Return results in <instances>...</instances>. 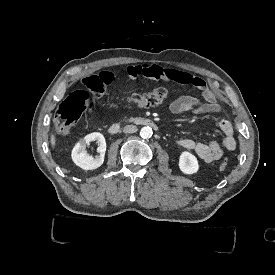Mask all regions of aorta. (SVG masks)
I'll use <instances>...</instances> for the list:
<instances>
[{"instance_id":"1","label":"aorta","mask_w":275,"mask_h":275,"mask_svg":"<svg viewBox=\"0 0 275 275\" xmlns=\"http://www.w3.org/2000/svg\"><path fill=\"white\" fill-rule=\"evenodd\" d=\"M153 134L152 128L149 126H145L141 128L140 136L144 139L150 138Z\"/></svg>"}]
</instances>
